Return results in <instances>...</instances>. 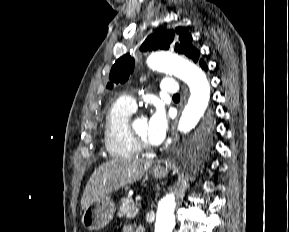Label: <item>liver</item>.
Wrapping results in <instances>:
<instances>
[{"mask_svg":"<svg viewBox=\"0 0 289 232\" xmlns=\"http://www.w3.org/2000/svg\"><path fill=\"white\" fill-rule=\"evenodd\" d=\"M152 163V160L147 159H115L102 164L86 184L81 198L82 209L100 197L139 181Z\"/></svg>","mask_w":289,"mask_h":232,"instance_id":"liver-1","label":"liver"}]
</instances>
